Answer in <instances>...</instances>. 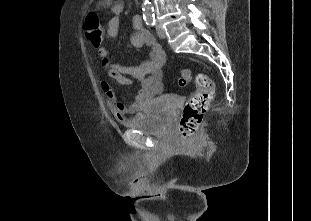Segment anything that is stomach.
Instances as JSON below:
<instances>
[{"label":"stomach","instance_id":"0dacf381","mask_svg":"<svg viewBox=\"0 0 311 221\" xmlns=\"http://www.w3.org/2000/svg\"><path fill=\"white\" fill-rule=\"evenodd\" d=\"M99 6H103V4H106L107 0H98Z\"/></svg>","mask_w":311,"mask_h":221}]
</instances>
